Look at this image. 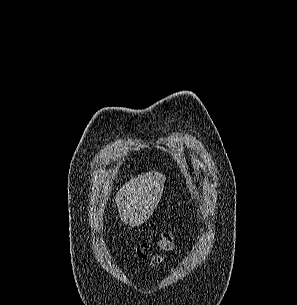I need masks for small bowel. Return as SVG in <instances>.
Wrapping results in <instances>:
<instances>
[{
	"label": "small bowel",
	"instance_id": "c3829d8e",
	"mask_svg": "<svg viewBox=\"0 0 297 305\" xmlns=\"http://www.w3.org/2000/svg\"><path fill=\"white\" fill-rule=\"evenodd\" d=\"M157 246L162 251H171L176 247L174 237L170 233H163L157 240ZM163 258L160 254H156L151 257V265L157 266L161 264Z\"/></svg>",
	"mask_w": 297,
	"mask_h": 305
}]
</instances>
